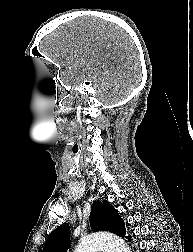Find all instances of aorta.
Masks as SVG:
<instances>
[{
  "mask_svg": "<svg viewBox=\"0 0 193 252\" xmlns=\"http://www.w3.org/2000/svg\"><path fill=\"white\" fill-rule=\"evenodd\" d=\"M131 252L127 243L111 234H93L81 239L74 252Z\"/></svg>",
  "mask_w": 193,
  "mask_h": 252,
  "instance_id": "762f6f07",
  "label": "aorta"
}]
</instances>
